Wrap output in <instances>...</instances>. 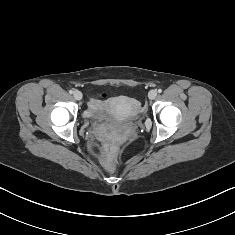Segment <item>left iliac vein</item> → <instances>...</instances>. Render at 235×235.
Instances as JSON below:
<instances>
[{
	"mask_svg": "<svg viewBox=\"0 0 235 235\" xmlns=\"http://www.w3.org/2000/svg\"><path fill=\"white\" fill-rule=\"evenodd\" d=\"M157 96V91L156 90H151L149 93H148V97L149 99H155Z\"/></svg>",
	"mask_w": 235,
	"mask_h": 235,
	"instance_id": "obj_1",
	"label": "left iliac vein"
}]
</instances>
